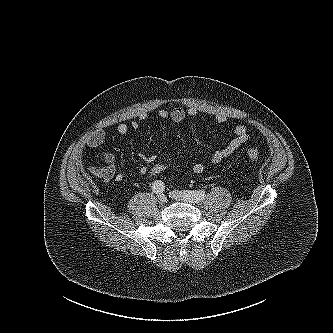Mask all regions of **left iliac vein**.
I'll use <instances>...</instances> for the list:
<instances>
[{
  "mask_svg": "<svg viewBox=\"0 0 333 333\" xmlns=\"http://www.w3.org/2000/svg\"><path fill=\"white\" fill-rule=\"evenodd\" d=\"M169 196L172 199H175L177 201H185V202H188V203H195L186 195L185 192H182V191H178V190L171 191L169 193Z\"/></svg>",
  "mask_w": 333,
  "mask_h": 333,
  "instance_id": "left-iliac-vein-1",
  "label": "left iliac vein"
}]
</instances>
